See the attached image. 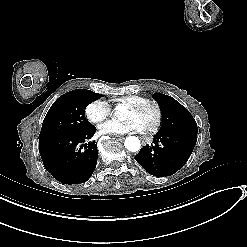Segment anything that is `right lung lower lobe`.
<instances>
[{
    "label": "right lung lower lobe",
    "instance_id": "obj_1",
    "mask_svg": "<svg viewBox=\"0 0 247 247\" xmlns=\"http://www.w3.org/2000/svg\"><path fill=\"white\" fill-rule=\"evenodd\" d=\"M96 132L91 126L77 134H60L39 140V152L45 169L58 181L65 184L86 182L93 174L97 163L95 142L83 144Z\"/></svg>",
    "mask_w": 247,
    "mask_h": 247
}]
</instances>
